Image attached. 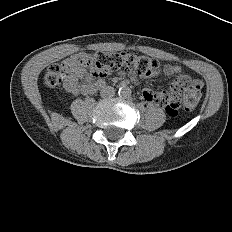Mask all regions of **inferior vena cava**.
Masks as SVG:
<instances>
[{
    "instance_id": "obj_1",
    "label": "inferior vena cava",
    "mask_w": 232,
    "mask_h": 232,
    "mask_svg": "<svg viewBox=\"0 0 232 232\" xmlns=\"http://www.w3.org/2000/svg\"><path fill=\"white\" fill-rule=\"evenodd\" d=\"M100 95L103 98H111L115 95V90L111 86H105L100 90Z\"/></svg>"
}]
</instances>
